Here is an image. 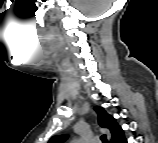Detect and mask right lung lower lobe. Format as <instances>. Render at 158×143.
I'll list each match as a JSON object with an SVG mask.
<instances>
[{"label":"right lung lower lobe","instance_id":"1","mask_svg":"<svg viewBox=\"0 0 158 143\" xmlns=\"http://www.w3.org/2000/svg\"><path fill=\"white\" fill-rule=\"evenodd\" d=\"M119 143H127L126 139L124 138L122 141H120Z\"/></svg>","mask_w":158,"mask_h":143}]
</instances>
